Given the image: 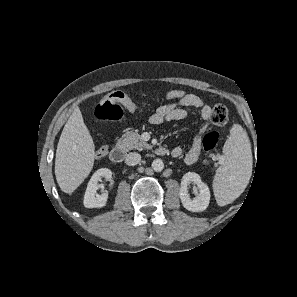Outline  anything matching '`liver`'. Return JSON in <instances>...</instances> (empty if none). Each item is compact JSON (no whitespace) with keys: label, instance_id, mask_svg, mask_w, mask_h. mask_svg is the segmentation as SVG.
Wrapping results in <instances>:
<instances>
[{"label":"liver","instance_id":"1","mask_svg":"<svg viewBox=\"0 0 297 297\" xmlns=\"http://www.w3.org/2000/svg\"><path fill=\"white\" fill-rule=\"evenodd\" d=\"M95 159L93 139L78 107L66 122L56 149L55 176L60 189L71 194L87 178Z\"/></svg>","mask_w":297,"mask_h":297}]
</instances>
